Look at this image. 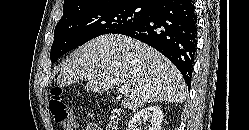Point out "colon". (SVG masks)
Returning a JSON list of instances; mask_svg holds the SVG:
<instances>
[{
	"mask_svg": "<svg viewBox=\"0 0 249 130\" xmlns=\"http://www.w3.org/2000/svg\"><path fill=\"white\" fill-rule=\"evenodd\" d=\"M49 103L50 112L59 130H74L77 127L76 118L70 107L62 99L60 88H54Z\"/></svg>",
	"mask_w": 249,
	"mask_h": 130,
	"instance_id": "5ec220e1",
	"label": "colon"
}]
</instances>
